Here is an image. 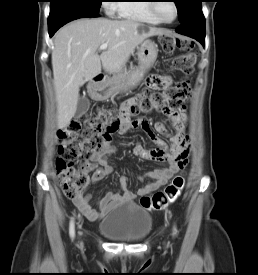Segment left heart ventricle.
Instances as JSON below:
<instances>
[{"label":"left heart ventricle","mask_w":258,"mask_h":275,"mask_svg":"<svg viewBox=\"0 0 258 275\" xmlns=\"http://www.w3.org/2000/svg\"><path fill=\"white\" fill-rule=\"evenodd\" d=\"M158 13L165 20H172L175 16V8L170 1H162L158 5Z\"/></svg>","instance_id":"obj_1"}]
</instances>
